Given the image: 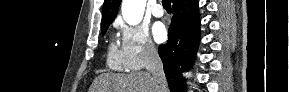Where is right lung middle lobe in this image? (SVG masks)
<instances>
[{
	"instance_id": "dd1d6c3e",
	"label": "right lung middle lobe",
	"mask_w": 289,
	"mask_h": 92,
	"mask_svg": "<svg viewBox=\"0 0 289 92\" xmlns=\"http://www.w3.org/2000/svg\"><path fill=\"white\" fill-rule=\"evenodd\" d=\"M108 27H109V25L104 26V27L101 28L102 35H104L106 33V30H107Z\"/></svg>"
}]
</instances>
